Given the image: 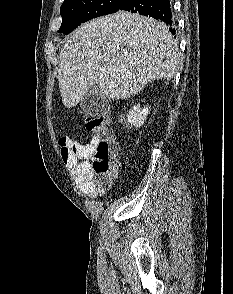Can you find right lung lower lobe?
I'll return each instance as SVG.
<instances>
[{
	"mask_svg": "<svg viewBox=\"0 0 233 294\" xmlns=\"http://www.w3.org/2000/svg\"><path fill=\"white\" fill-rule=\"evenodd\" d=\"M119 10L139 13L161 20L169 27L172 34L176 32L169 0H125Z\"/></svg>",
	"mask_w": 233,
	"mask_h": 294,
	"instance_id": "1",
	"label": "right lung lower lobe"
}]
</instances>
